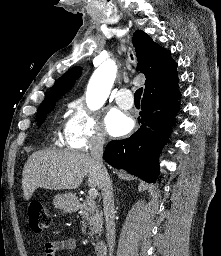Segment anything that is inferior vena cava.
<instances>
[{"instance_id": "1", "label": "inferior vena cava", "mask_w": 221, "mask_h": 256, "mask_svg": "<svg viewBox=\"0 0 221 256\" xmlns=\"http://www.w3.org/2000/svg\"><path fill=\"white\" fill-rule=\"evenodd\" d=\"M105 139L102 135H96L93 137L92 145L90 147V154L93 161L100 172L101 185L103 197V208L106 221V238L109 246V255L112 256L115 245V212H114V196L112 182L108 175L106 168L103 165V145Z\"/></svg>"}]
</instances>
